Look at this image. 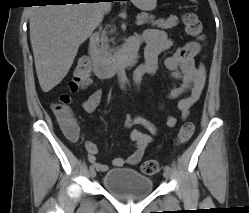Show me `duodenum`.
<instances>
[{"label":"duodenum","instance_id":"duodenum-1","mask_svg":"<svg viewBox=\"0 0 249 213\" xmlns=\"http://www.w3.org/2000/svg\"><path fill=\"white\" fill-rule=\"evenodd\" d=\"M100 37L98 33L91 34L89 38L88 54L85 58L87 64L98 78L112 77L119 69L132 66L137 57L140 42L137 37L127 40L116 60H108L99 52ZM141 74L137 72L135 80L138 81Z\"/></svg>","mask_w":249,"mask_h":213}]
</instances>
